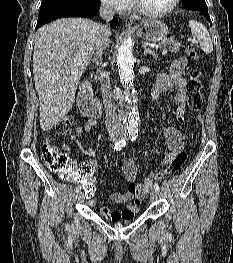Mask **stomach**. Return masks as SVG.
<instances>
[{"label": "stomach", "mask_w": 233, "mask_h": 263, "mask_svg": "<svg viewBox=\"0 0 233 263\" xmlns=\"http://www.w3.org/2000/svg\"><path fill=\"white\" fill-rule=\"evenodd\" d=\"M137 35L149 42H163L169 33L167 26L159 20H149L136 27Z\"/></svg>", "instance_id": "0dacf381"}]
</instances>
